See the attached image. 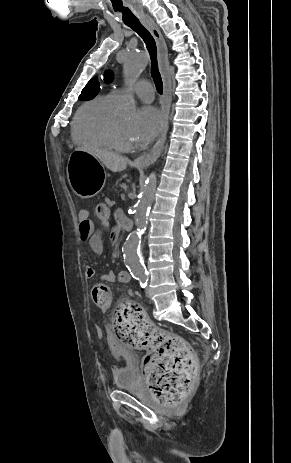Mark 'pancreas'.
<instances>
[{"label":"pancreas","instance_id":"1","mask_svg":"<svg viewBox=\"0 0 291 463\" xmlns=\"http://www.w3.org/2000/svg\"><path fill=\"white\" fill-rule=\"evenodd\" d=\"M121 187L122 185L120 183V180H117L116 182L109 184L108 191L113 195L119 196L121 193Z\"/></svg>","mask_w":291,"mask_h":463}]
</instances>
